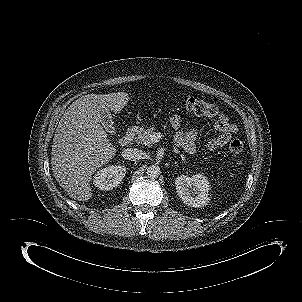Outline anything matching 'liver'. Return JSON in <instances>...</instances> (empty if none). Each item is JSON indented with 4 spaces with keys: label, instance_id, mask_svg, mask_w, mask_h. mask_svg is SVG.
Instances as JSON below:
<instances>
[{
    "label": "liver",
    "instance_id": "obj_1",
    "mask_svg": "<svg viewBox=\"0 0 302 302\" xmlns=\"http://www.w3.org/2000/svg\"><path fill=\"white\" fill-rule=\"evenodd\" d=\"M128 100L125 92L87 94L75 100L63 114L53 138L51 166L71 198L89 200L92 175L116 153L100 124V109L117 113Z\"/></svg>",
    "mask_w": 302,
    "mask_h": 302
}]
</instances>
